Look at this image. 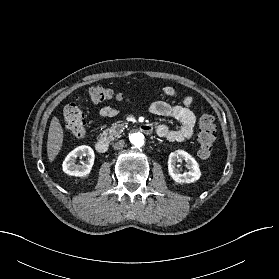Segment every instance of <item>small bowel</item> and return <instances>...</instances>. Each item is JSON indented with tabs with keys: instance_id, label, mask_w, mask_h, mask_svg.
Here are the masks:
<instances>
[{
	"instance_id": "obj_1",
	"label": "small bowel",
	"mask_w": 279,
	"mask_h": 279,
	"mask_svg": "<svg viewBox=\"0 0 279 279\" xmlns=\"http://www.w3.org/2000/svg\"><path fill=\"white\" fill-rule=\"evenodd\" d=\"M162 95L165 97H177L178 92L171 86H165L162 89ZM193 97L185 96L180 105H172L166 101H155L149 107V112L156 116H161L178 121L181 125L178 130H170L164 124H157L154 127V133L161 138L171 142H182L190 139L194 132L196 116L194 113ZM100 116L103 118H112L118 114V110L111 105L100 109Z\"/></svg>"
}]
</instances>
